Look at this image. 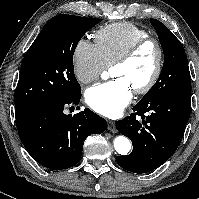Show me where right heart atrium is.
<instances>
[{
  "label": "right heart atrium",
  "instance_id": "1",
  "mask_svg": "<svg viewBox=\"0 0 199 199\" xmlns=\"http://www.w3.org/2000/svg\"><path fill=\"white\" fill-rule=\"evenodd\" d=\"M72 64L75 77L84 84L97 79L107 68L97 44L85 39L77 42Z\"/></svg>",
  "mask_w": 199,
  "mask_h": 199
}]
</instances>
